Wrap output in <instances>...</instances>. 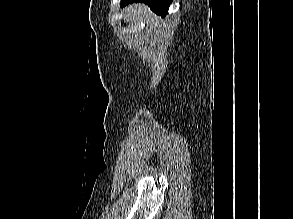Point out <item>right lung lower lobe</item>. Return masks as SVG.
Here are the masks:
<instances>
[{"label": "right lung lower lobe", "instance_id": "98d812e1", "mask_svg": "<svg viewBox=\"0 0 293 219\" xmlns=\"http://www.w3.org/2000/svg\"><path fill=\"white\" fill-rule=\"evenodd\" d=\"M172 0H122L121 6H125L133 2H144L148 4L155 13L158 15L166 16L168 8Z\"/></svg>", "mask_w": 293, "mask_h": 219}]
</instances>
